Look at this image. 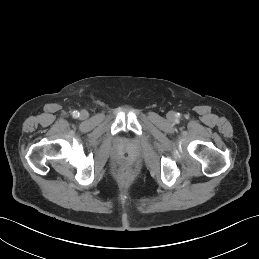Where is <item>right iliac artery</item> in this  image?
Segmentation results:
<instances>
[{
	"mask_svg": "<svg viewBox=\"0 0 259 259\" xmlns=\"http://www.w3.org/2000/svg\"><path fill=\"white\" fill-rule=\"evenodd\" d=\"M74 118H78L79 117V112L78 111H73L72 113Z\"/></svg>",
	"mask_w": 259,
	"mask_h": 259,
	"instance_id": "obj_1",
	"label": "right iliac artery"
}]
</instances>
